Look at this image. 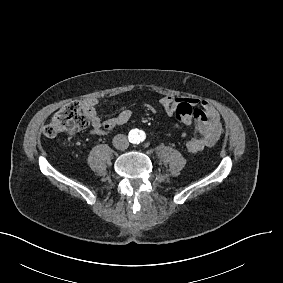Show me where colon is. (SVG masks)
<instances>
[{
    "label": "colon",
    "instance_id": "1",
    "mask_svg": "<svg viewBox=\"0 0 283 283\" xmlns=\"http://www.w3.org/2000/svg\"><path fill=\"white\" fill-rule=\"evenodd\" d=\"M179 120L191 128L194 122L191 118L192 106L182 102L179 105ZM85 107L80 102H72L58 110L52 117L51 122L45 126L43 135L47 139H54L65 134H75L88 127L89 120Z\"/></svg>",
    "mask_w": 283,
    "mask_h": 283
}]
</instances>
